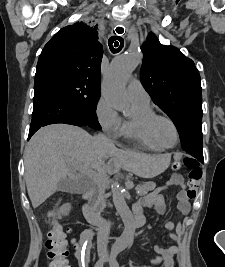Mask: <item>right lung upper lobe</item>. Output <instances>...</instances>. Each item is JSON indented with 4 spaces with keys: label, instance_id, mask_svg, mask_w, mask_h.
Returning <instances> with one entry per match:
<instances>
[{
    "label": "right lung upper lobe",
    "instance_id": "1",
    "mask_svg": "<svg viewBox=\"0 0 225 267\" xmlns=\"http://www.w3.org/2000/svg\"><path fill=\"white\" fill-rule=\"evenodd\" d=\"M102 44L96 27L82 22L59 30L45 45L39 56L35 79L48 75H64L100 86Z\"/></svg>",
    "mask_w": 225,
    "mask_h": 267
}]
</instances>
